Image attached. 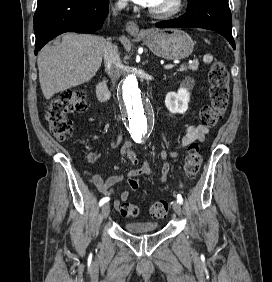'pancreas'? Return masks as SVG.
Segmentation results:
<instances>
[{"instance_id": "1", "label": "pancreas", "mask_w": 272, "mask_h": 282, "mask_svg": "<svg viewBox=\"0 0 272 282\" xmlns=\"http://www.w3.org/2000/svg\"><path fill=\"white\" fill-rule=\"evenodd\" d=\"M199 62L196 60L192 64H189L187 67H181L180 71H186L187 69L196 71L198 69Z\"/></svg>"}]
</instances>
